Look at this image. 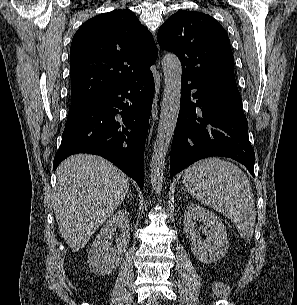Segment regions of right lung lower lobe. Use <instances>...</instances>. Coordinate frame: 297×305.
<instances>
[{"label": "right lung lower lobe", "mask_w": 297, "mask_h": 305, "mask_svg": "<svg viewBox=\"0 0 297 305\" xmlns=\"http://www.w3.org/2000/svg\"><path fill=\"white\" fill-rule=\"evenodd\" d=\"M154 89L149 72L104 91L70 112L54 169L72 154H96L114 163L143 189L144 148Z\"/></svg>", "instance_id": "1"}]
</instances>
